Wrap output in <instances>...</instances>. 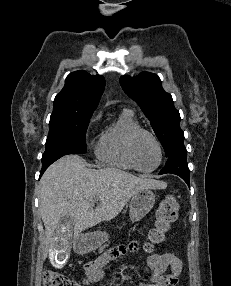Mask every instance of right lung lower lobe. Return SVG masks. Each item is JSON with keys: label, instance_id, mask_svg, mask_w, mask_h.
Instances as JSON below:
<instances>
[{"label": "right lung lower lobe", "instance_id": "98d812e1", "mask_svg": "<svg viewBox=\"0 0 231 286\" xmlns=\"http://www.w3.org/2000/svg\"><path fill=\"white\" fill-rule=\"evenodd\" d=\"M60 157L62 156H59V157H55L49 161H46V162H42V169H41V173H40V177L42 176V174L45 172V170L54 162L56 161L57 159H59Z\"/></svg>", "mask_w": 231, "mask_h": 286}]
</instances>
